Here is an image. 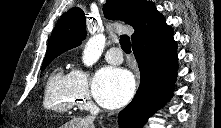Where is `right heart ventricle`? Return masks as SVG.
I'll use <instances>...</instances> for the list:
<instances>
[{"mask_svg": "<svg viewBox=\"0 0 221 128\" xmlns=\"http://www.w3.org/2000/svg\"><path fill=\"white\" fill-rule=\"evenodd\" d=\"M78 102L71 84V74L62 65L53 69L45 86L44 107L57 114L71 113Z\"/></svg>", "mask_w": 221, "mask_h": 128, "instance_id": "e07e8e85", "label": "right heart ventricle"}]
</instances>
